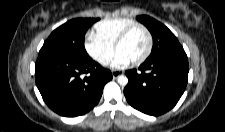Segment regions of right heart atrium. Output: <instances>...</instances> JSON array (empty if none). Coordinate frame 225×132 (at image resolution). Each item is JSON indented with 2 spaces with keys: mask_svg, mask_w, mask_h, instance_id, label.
Returning a JSON list of instances; mask_svg holds the SVG:
<instances>
[{
  "mask_svg": "<svg viewBox=\"0 0 225 132\" xmlns=\"http://www.w3.org/2000/svg\"><path fill=\"white\" fill-rule=\"evenodd\" d=\"M84 48L87 54L100 65H108L114 55V47L102 42L93 34L86 37Z\"/></svg>",
  "mask_w": 225,
  "mask_h": 132,
  "instance_id": "right-heart-atrium-1",
  "label": "right heart atrium"
}]
</instances>
